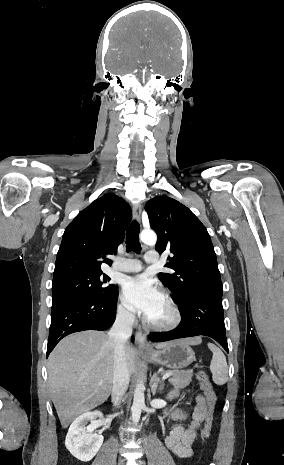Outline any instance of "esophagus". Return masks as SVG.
<instances>
[{
	"instance_id": "esophagus-1",
	"label": "esophagus",
	"mask_w": 284,
	"mask_h": 465,
	"mask_svg": "<svg viewBox=\"0 0 284 465\" xmlns=\"http://www.w3.org/2000/svg\"><path fill=\"white\" fill-rule=\"evenodd\" d=\"M132 212L135 220L140 222L142 205L140 203H134L132 207ZM135 341L140 349H145L148 346L147 335L145 332H143V330H138L136 332Z\"/></svg>"
}]
</instances>
